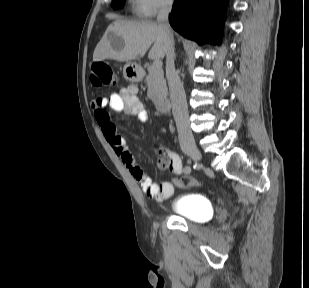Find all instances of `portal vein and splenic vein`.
<instances>
[{"instance_id":"18ae733b","label":"portal vein and splenic vein","mask_w":309,"mask_h":288,"mask_svg":"<svg viewBox=\"0 0 309 288\" xmlns=\"http://www.w3.org/2000/svg\"><path fill=\"white\" fill-rule=\"evenodd\" d=\"M152 67L155 69H160L162 67V61L160 59H154Z\"/></svg>"}]
</instances>
